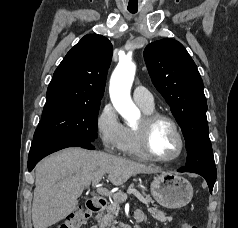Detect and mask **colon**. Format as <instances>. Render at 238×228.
Instances as JSON below:
<instances>
[{"label":"colon","instance_id":"1","mask_svg":"<svg viewBox=\"0 0 238 228\" xmlns=\"http://www.w3.org/2000/svg\"><path fill=\"white\" fill-rule=\"evenodd\" d=\"M90 217V213L82 208L75 209L65 220L55 228H81ZM179 228H199L188 222H181Z\"/></svg>","mask_w":238,"mask_h":228}]
</instances>
